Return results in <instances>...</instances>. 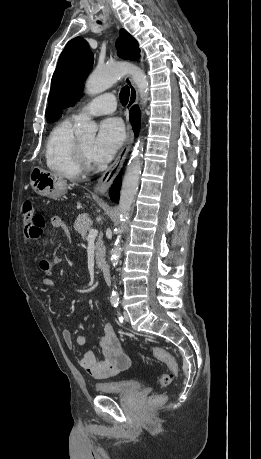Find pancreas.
<instances>
[{"mask_svg": "<svg viewBox=\"0 0 261 459\" xmlns=\"http://www.w3.org/2000/svg\"><path fill=\"white\" fill-rule=\"evenodd\" d=\"M92 227V221L88 214H81L74 223V229L82 236L83 240L87 239V231ZM105 254V247L102 241V235L99 236L95 243L96 263L100 264Z\"/></svg>", "mask_w": 261, "mask_h": 459, "instance_id": "obj_1", "label": "pancreas"}]
</instances>
